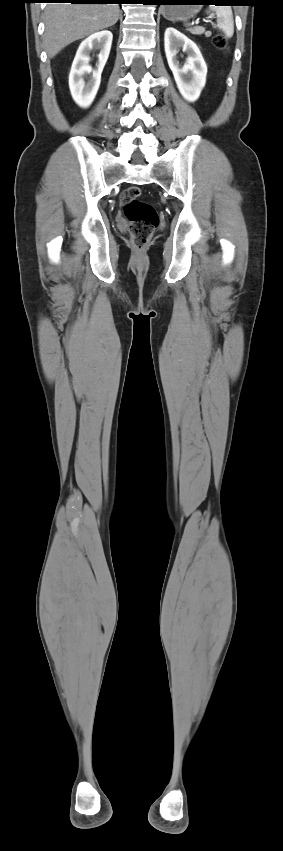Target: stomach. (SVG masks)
Instances as JSON below:
<instances>
[{"instance_id":"stomach-1","label":"stomach","mask_w":283,"mask_h":851,"mask_svg":"<svg viewBox=\"0 0 283 851\" xmlns=\"http://www.w3.org/2000/svg\"><path fill=\"white\" fill-rule=\"evenodd\" d=\"M201 0H174L175 5H165L160 11L164 18L170 21H185L196 15L201 6L197 5ZM184 4V5H178Z\"/></svg>"}]
</instances>
